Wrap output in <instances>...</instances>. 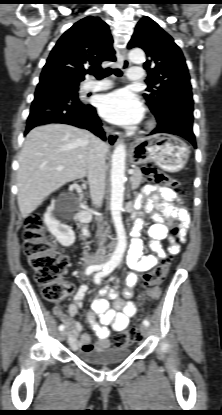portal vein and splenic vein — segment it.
<instances>
[{"label":"portal vein and splenic vein","instance_id":"1","mask_svg":"<svg viewBox=\"0 0 222 415\" xmlns=\"http://www.w3.org/2000/svg\"><path fill=\"white\" fill-rule=\"evenodd\" d=\"M64 167H60V168H58V170H62ZM133 172H134V170L133 169H130L129 171H128V173L129 174H133Z\"/></svg>","mask_w":222,"mask_h":415}]
</instances>
